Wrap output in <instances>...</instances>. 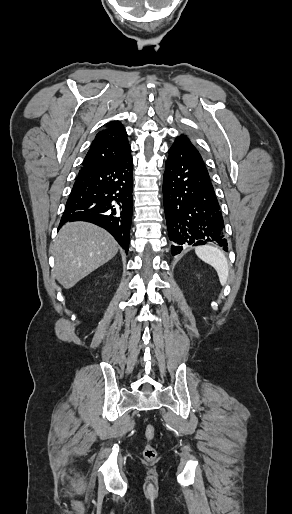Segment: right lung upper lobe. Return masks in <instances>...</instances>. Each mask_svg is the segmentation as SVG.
Returning a JSON list of instances; mask_svg holds the SVG:
<instances>
[{
    "instance_id": "cb5924a9",
    "label": "right lung upper lobe",
    "mask_w": 292,
    "mask_h": 514,
    "mask_svg": "<svg viewBox=\"0 0 292 514\" xmlns=\"http://www.w3.org/2000/svg\"><path fill=\"white\" fill-rule=\"evenodd\" d=\"M131 153L125 128L112 121L98 132L83 161V166H101L118 161Z\"/></svg>"
}]
</instances>
